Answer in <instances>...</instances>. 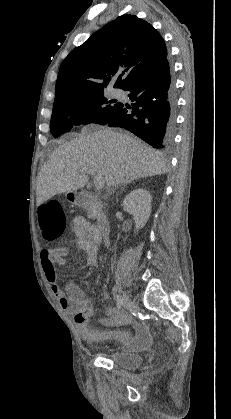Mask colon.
Masks as SVG:
<instances>
[{"mask_svg": "<svg viewBox=\"0 0 231 419\" xmlns=\"http://www.w3.org/2000/svg\"><path fill=\"white\" fill-rule=\"evenodd\" d=\"M41 226L47 240H54L65 227V215L59 203L45 202L39 207ZM89 309L84 314H89Z\"/></svg>", "mask_w": 231, "mask_h": 419, "instance_id": "5ec220e1", "label": "colon"}]
</instances>
